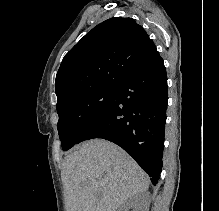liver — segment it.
Wrapping results in <instances>:
<instances>
[{
	"label": "liver",
	"instance_id": "obj_1",
	"mask_svg": "<svg viewBox=\"0 0 219 211\" xmlns=\"http://www.w3.org/2000/svg\"><path fill=\"white\" fill-rule=\"evenodd\" d=\"M62 179L66 211H119L150 183L137 161L106 139H88L65 155Z\"/></svg>",
	"mask_w": 219,
	"mask_h": 211
}]
</instances>
